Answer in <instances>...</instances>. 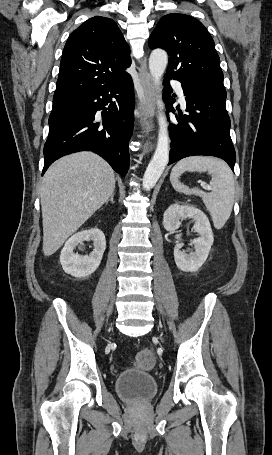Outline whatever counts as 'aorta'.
I'll use <instances>...</instances> for the list:
<instances>
[{"mask_svg": "<svg viewBox=\"0 0 272 455\" xmlns=\"http://www.w3.org/2000/svg\"><path fill=\"white\" fill-rule=\"evenodd\" d=\"M167 63L168 56L164 50L155 49L152 51L149 58V70L158 92L161 90V78L164 74ZM157 105L160 110L163 108L161 95L157 96ZM158 124L159 132L157 147L143 176V188L147 191L151 190L156 185L169 160L170 140L168 135V123L163 112H159L158 114Z\"/></svg>", "mask_w": 272, "mask_h": 455, "instance_id": "obj_1", "label": "aorta"}]
</instances>
